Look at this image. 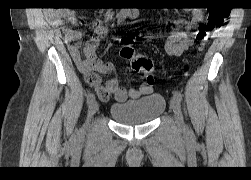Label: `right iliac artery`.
<instances>
[{
  "label": "right iliac artery",
  "instance_id": "right-iliac-artery-1",
  "mask_svg": "<svg viewBox=\"0 0 251 180\" xmlns=\"http://www.w3.org/2000/svg\"><path fill=\"white\" fill-rule=\"evenodd\" d=\"M93 101H95L94 93L90 92L87 95V104L90 105Z\"/></svg>",
  "mask_w": 251,
  "mask_h": 180
}]
</instances>
